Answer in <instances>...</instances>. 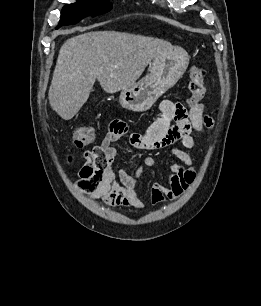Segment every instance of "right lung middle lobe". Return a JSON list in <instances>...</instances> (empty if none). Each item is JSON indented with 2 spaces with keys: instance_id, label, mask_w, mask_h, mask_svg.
<instances>
[{
  "instance_id": "dd1d6c3e",
  "label": "right lung middle lobe",
  "mask_w": 261,
  "mask_h": 306,
  "mask_svg": "<svg viewBox=\"0 0 261 306\" xmlns=\"http://www.w3.org/2000/svg\"><path fill=\"white\" fill-rule=\"evenodd\" d=\"M112 9L109 0H78L76 3L67 4L62 9L58 29L62 25L75 24L85 16H96Z\"/></svg>"
}]
</instances>
